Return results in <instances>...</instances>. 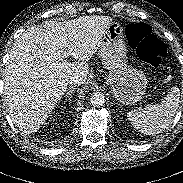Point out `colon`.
I'll list each match as a JSON object with an SVG mask.
<instances>
[{"instance_id":"1","label":"colon","mask_w":183,"mask_h":183,"mask_svg":"<svg viewBox=\"0 0 183 183\" xmlns=\"http://www.w3.org/2000/svg\"><path fill=\"white\" fill-rule=\"evenodd\" d=\"M125 35L138 56L156 68H162L167 60V47L152 34L145 23H132L126 26Z\"/></svg>"}]
</instances>
